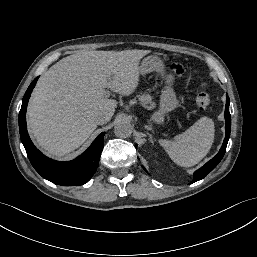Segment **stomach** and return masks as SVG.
<instances>
[{
    "mask_svg": "<svg viewBox=\"0 0 257 257\" xmlns=\"http://www.w3.org/2000/svg\"><path fill=\"white\" fill-rule=\"evenodd\" d=\"M152 71H157L162 74L167 83V86L162 90L160 96V108L152 116V120L154 122L161 123L164 120V115L178 106V100L173 88L171 87L173 77L171 75H165L163 62L158 56H148L144 58L139 65V73L141 75L148 74Z\"/></svg>",
    "mask_w": 257,
    "mask_h": 257,
    "instance_id": "stomach-1",
    "label": "stomach"
}]
</instances>
